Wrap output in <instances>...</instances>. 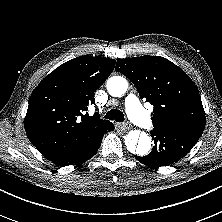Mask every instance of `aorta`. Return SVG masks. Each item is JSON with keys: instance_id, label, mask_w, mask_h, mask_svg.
<instances>
[{"instance_id": "aorta-1", "label": "aorta", "mask_w": 222, "mask_h": 222, "mask_svg": "<svg viewBox=\"0 0 222 222\" xmlns=\"http://www.w3.org/2000/svg\"><path fill=\"white\" fill-rule=\"evenodd\" d=\"M128 89V82L121 76H113L107 81V90L110 95L120 97L126 93ZM125 145L129 152L139 156H145L151 149V139L146 133H138L131 131L125 137Z\"/></svg>"}]
</instances>
